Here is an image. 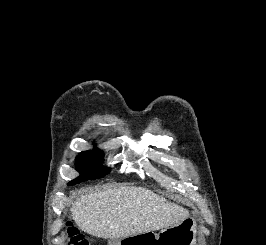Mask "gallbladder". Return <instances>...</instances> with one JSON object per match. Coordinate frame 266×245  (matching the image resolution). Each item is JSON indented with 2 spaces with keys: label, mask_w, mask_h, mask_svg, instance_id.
<instances>
[{
  "label": "gallbladder",
  "mask_w": 266,
  "mask_h": 245,
  "mask_svg": "<svg viewBox=\"0 0 266 245\" xmlns=\"http://www.w3.org/2000/svg\"><path fill=\"white\" fill-rule=\"evenodd\" d=\"M115 239H109V245H114Z\"/></svg>",
  "instance_id": "bac80fb5"
}]
</instances>
